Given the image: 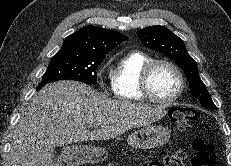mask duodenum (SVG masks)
<instances>
[{
    "label": "duodenum",
    "mask_w": 231,
    "mask_h": 166,
    "mask_svg": "<svg viewBox=\"0 0 231 166\" xmlns=\"http://www.w3.org/2000/svg\"><path fill=\"white\" fill-rule=\"evenodd\" d=\"M65 157H66V158H70L71 155H70V154H66Z\"/></svg>",
    "instance_id": "1"
}]
</instances>
